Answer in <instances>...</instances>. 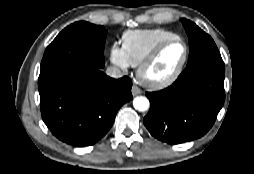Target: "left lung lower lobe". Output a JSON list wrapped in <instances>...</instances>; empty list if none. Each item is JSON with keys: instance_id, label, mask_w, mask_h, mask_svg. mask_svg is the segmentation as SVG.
<instances>
[{"instance_id": "left-lung-lower-lobe-1", "label": "left lung lower lobe", "mask_w": 254, "mask_h": 174, "mask_svg": "<svg viewBox=\"0 0 254 174\" xmlns=\"http://www.w3.org/2000/svg\"><path fill=\"white\" fill-rule=\"evenodd\" d=\"M225 70L204 69L181 77L168 88L147 92L150 110L143 122L152 136L168 144L202 137L224 104Z\"/></svg>"}]
</instances>
